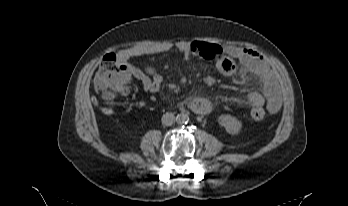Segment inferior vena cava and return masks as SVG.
I'll list each match as a JSON object with an SVG mask.
<instances>
[{"mask_svg":"<svg viewBox=\"0 0 348 206\" xmlns=\"http://www.w3.org/2000/svg\"><path fill=\"white\" fill-rule=\"evenodd\" d=\"M175 122V116L173 113H165L163 116H162V123L166 126H171L172 124H174Z\"/></svg>","mask_w":348,"mask_h":206,"instance_id":"602c4592","label":"inferior vena cava"}]
</instances>
